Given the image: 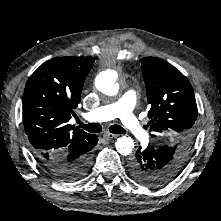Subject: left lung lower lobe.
I'll list each match as a JSON object with an SVG mask.
<instances>
[{"label": "left lung lower lobe", "instance_id": "obj_1", "mask_svg": "<svg viewBox=\"0 0 221 221\" xmlns=\"http://www.w3.org/2000/svg\"><path fill=\"white\" fill-rule=\"evenodd\" d=\"M164 158V150L153 145L147 148L139 147L135 155L129 161L131 177L140 184L147 186H159L164 182L158 180V172Z\"/></svg>", "mask_w": 221, "mask_h": 221}]
</instances>
